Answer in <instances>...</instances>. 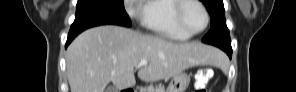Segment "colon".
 Here are the masks:
<instances>
[{
    "instance_id": "colon-1",
    "label": "colon",
    "mask_w": 296,
    "mask_h": 92,
    "mask_svg": "<svg viewBox=\"0 0 296 92\" xmlns=\"http://www.w3.org/2000/svg\"><path fill=\"white\" fill-rule=\"evenodd\" d=\"M210 79L208 69L199 70L194 77V92H207L206 83Z\"/></svg>"
}]
</instances>
